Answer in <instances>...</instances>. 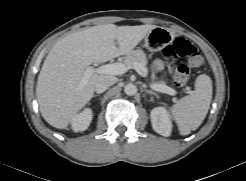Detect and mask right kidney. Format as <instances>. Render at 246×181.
<instances>
[{
    "label": "right kidney",
    "instance_id": "1",
    "mask_svg": "<svg viewBox=\"0 0 246 181\" xmlns=\"http://www.w3.org/2000/svg\"><path fill=\"white\" fill-rule=\"evenodd\" d=\"M92 110L89 108L84 109L81 113L74 116L71 120V127L74 132L86 130L92 120Z\"/></svg>",
    "mask_w": 246,
    "mask_h": 181
}]
</instances>
